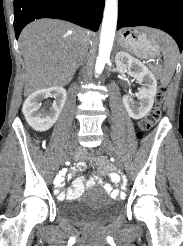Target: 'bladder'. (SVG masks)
I'll list each match as a JSON object with an SVG mask.
<instances>
[{
    "mask_svg": "<svg viewBox=\"0 0 183 246\" xmlns=\"http://www.w3.org/2000/svg\"><path fill=\"white\" fill-rule=\"evenodd\" d=\"M121 211L118 200L109 198L99 188H92L87 196L64 203L60 213L74 222L98 221L104 222Z\"/></svg>",
    "mask_w": 183,
    "mask_h": 246,
    "instance_id": "obj_1",
    "label": "bladder"
}]
</instances>
